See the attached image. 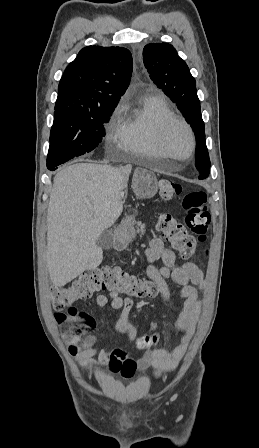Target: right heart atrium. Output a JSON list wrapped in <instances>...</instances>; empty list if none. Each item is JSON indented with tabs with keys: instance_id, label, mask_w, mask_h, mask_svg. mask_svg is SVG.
Returning <instances> with one entry per match:
<instances>
[{
	"instance_id": "1",
	"label": "right heart atrium",
	"mask_w": 259,
	"mask_h": 448,
	"mask_svg": "<svg viewBox=\"0 0 259 448\" xmlns=\"http://www.w3.org/2000/svg\"><path fill=\"white\" fill-rule=\"evenodd\" d=\"M103 141L104 146L109 149L122 145L120 133L111 121L105 127Z\"/></svg>"
}]
</instances>
